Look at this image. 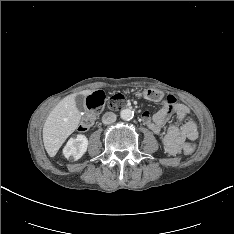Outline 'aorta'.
<instances>
[{
  "instance_id": "aorta-1",
  "label": "aorta",
  "mask_w": 234,
  "mask_h": 234,
  "mask_svg": "<svg viewBox=\"0 0 234 234\" xmlns=\"http://www.w3.org/2000/svg\"><path fill=\"white\" fill-rule=\"evenodd\" d=\"M134 116V111H132L131 109L127 108V109H123L120 112V117L123 120H131Z\"/></svg>"
}]
</instances>
